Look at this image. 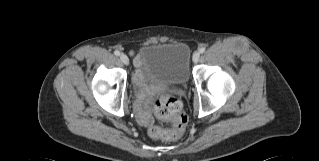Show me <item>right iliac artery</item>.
Here are the masks:
<instances>
[{"mask_svg": "<svg viewBox=\"0 0 319 161\" xmlns=\"http://www.w3.org/2000/svg\"><path fill=\"white\" fill-rule=\"evenodd\" d=\"M114 54L116 55V56H119L120 55V52L119 51H114Z\"/></svg>", "mask_w": 319, "mask_h": 161, "instance_id": "right-iliac-artery-1", "label": "right iliac artery"}]
</instances>
